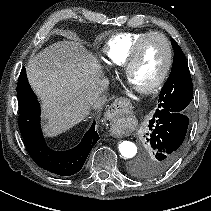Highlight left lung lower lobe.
Wrapping results in <instances>:
<instances>
[{
    "mask_svg": "<svg viewBox=\"0 0 211 211\" xmlns=\"http://www.w3.org/2000/svg\"><path fill=\"white\" fill-rule=\"evenodd\" d=\"M189 119L187 114L163 112L149 121L150 132L146 133L152 163L150 175L155 176L169 168L180 155Z\"/></svg>",
    "mask_w": 211,
    "mask_h": 211,
    "instance_id": "obj_1",
    "label": "left lung lower lobe"
}]
</instances>
